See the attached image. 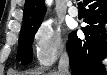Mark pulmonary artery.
Instances as JSON below:
<instances>
[{
    "label": "pulmonary artery",
    "instance_id": "1",
    "mask_svg": "<svg viewBox=\"0 0 107 75\" xmlns=\"http://www.w3.org/2000/svg\"><path fill=\"white\" fill-rule=\"evenodd\" d=\"M68 12L73 17L78 16V9H77V7L73 6L72 4L69 5Z\"/></svg>",
    "mask_w": 107,
    "mask_h": 75
}]
</instances>
